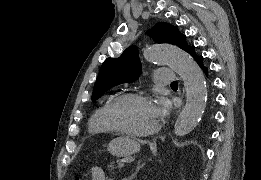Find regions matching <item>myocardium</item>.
Wrapping results in <instances>:
<instances>
[{"label":"myocardium","mask_w":261,"mask_h":180,"mask_svg":"<svg viewBox=\"0 0 261 180\" xmlns=\"http://www.w3.org/2000/svg\"><path fill=\"white\" fill-rule=\"evenodd\" d=\"M139 98H150V97L148 96L147 93H145L143 91L125 92V93L116 95L112 99V101L109 103V105L105 108V110H104L105 123L115 137L150 140L153 137H155L158 134V132L160 131L162 124H163V120H164V113L161 109H159L158 120H157V123L154 126V128L149 133L142 135V136H131V135L123 134L118 129L116 124L112 121V119L110 117V111L113 107L118 106L129 99H139Z\"/></svg>","instance_id":"f54148a6"}]
</instances>
